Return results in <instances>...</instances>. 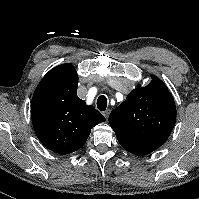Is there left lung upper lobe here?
<instances>
[{"instance_id":"5c2ea615","label":"left lung upper lobe","mask_w":199,"mask_h":199,"mask_svg":"<svg viewBox=\"0 0 199 199\" xmlns=\"http://www.w3.org/2000/svg\"><path fill=\"white\" fill-rule=\"evenodd\" d=\"M176 122V107L167 86L156 76L132 90L109 115L114 131L163 145Z\"/></svg>"}]
</instances>
